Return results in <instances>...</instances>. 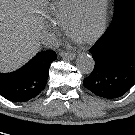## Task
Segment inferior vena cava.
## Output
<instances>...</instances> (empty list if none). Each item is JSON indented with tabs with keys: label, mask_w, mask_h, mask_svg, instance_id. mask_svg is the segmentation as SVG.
I'll return each instance as SVG.
<instances>
[{
	"label": "inferior vena cava",
	"mask_w": 135,
	"mask_h": 135,
	"mask_svg": "<svg viewBox=\"0 0 135 135\" xmlns=\"http://www.w3.org/2000/svg\"><path fill=\"white\" fill-rule=\"evenodd\" d=\"M41 42L47 49H56L60 46V40L54 33H43Z\"/></svg>",
	"instance_id": "1"
}]
</instances>
